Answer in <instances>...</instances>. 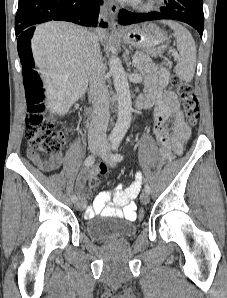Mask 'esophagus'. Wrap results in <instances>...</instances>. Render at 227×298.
<instances>
[{
	"label": "esophagus",
	"mask_w": 227,
	"mask_h": 298,
	"mask_svg": "<svg viewBox=\"0 0 227 298\" xmlns=\"http://www.w3.org/2000/svg\"><path fill=\"white\" fill-rule=\"evenodd\" d=\"M108 10H109V18H110V22H111V26L114 30H117L119 29V25L117 24V22H115V19H116V16H117V13L119 11V7L118 5L114 2V1H109L108 2ZM104 22L105 21V16L104 15H101L99 17V23L101 22Z\"/></svg>",
	"instance_id": "obj_1"
}]
</instances>
